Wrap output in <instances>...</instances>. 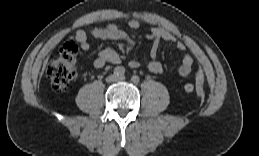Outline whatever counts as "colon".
I'll return each mask as SVG.
<instances>
[{
    "instance_id": "5ec220e1",
    "label": "colon",
    "mask_w": 259,
    "mask_h": 156,
    "mask_svg": "<svg viewBox=\"0 0 259 156\" xmlns=\"http://www.w3.org/2000/svg\"><path fill=\"white\" fill-rule=\"evenodd\" d=\"M77 54L78 46L74 42H68L50 60L46 73L56 90H65L69 83L77 76L79 71ZM184 90L187 93H192L195 90L194 83L187 82L184 85Z\"/></svg>"
}]
</instances>
